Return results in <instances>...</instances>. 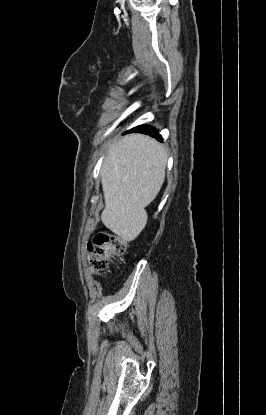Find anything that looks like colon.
Listing matches in <instances>:
<instances>
[{
  "mask_svg": "<svg viewBox=\"0 0 266 415\" xmlns=\"http://www.w3.org/2000/svg\"><path fill=\"white\" fill-rule=\"evenodd\" d=\"M127 243L124 239L106 232L97 233L88 244L91 269L99 273L106 269L113 258L124 255Z\"/></svg>",
  "mask_w": 266,
  "mask_h": 415,
  "instance_id": "1",
  "label": "colon"
}]
</instances>
